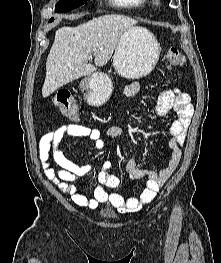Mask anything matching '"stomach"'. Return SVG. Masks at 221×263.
I'll return each mask as SVG.
<instances>
[{
  "label": "stomach",
  "mask_w": 221,
  "mask_h": 263,
  "mask_svg": "<svg viewBox=\"0 0 221 263\" xmlns=\"http://www.w3.org/2000/svg\"><path fill=\"white\" fill-rule=\"evenodd\" d=\"M160 51L158 41L147 29L134 27L120 39L113 56V66L122 77L139 79L154 69ZM82 88L89 104L101 106L111 96L113 83L106 73L95 72L83 81Z\"/></svg>",
  "instance_id": "0dacf381"
}]
</instances>
